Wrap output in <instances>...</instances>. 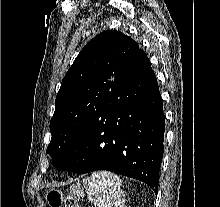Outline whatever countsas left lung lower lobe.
I'll return each mask as SVG.
<instances>
[{"label":"left lung lower lobe","instance_id":"1","mask_svg":"<svg viewBox=\"0 0 220 207\" xmlns=\"http://www.w3.org/2000/svg\"><path fill=\"white\" fill-rule=\"evenodd\" d=\"M164 130L157 79L139 49L100 111L55 167L79 174L116 172L143 181L157 194Z\"/></svg>","mask_w":220,"mask_h":207}]
</instances>
